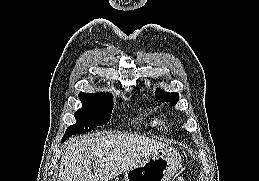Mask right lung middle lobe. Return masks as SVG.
<instances>
[{
    "mask_svg": "<svg viewBox=\"0 0 259 181\" xmlns=\"http://www.w3.org/2000/svg\"><path fill=\"white\" fill-rule=\"evenodd\" d=\"M83 106L75 112L76 124L67 128L62 141L74 134L92 131L94 126L108 123L113 109L112 98L79 95Z\"/></svg>",
    "mask_w": 259,
    "mask_h": 181,
    "instance_id": "obj_1",
    "label": "right lung middle lobe"
}]
</instances>
